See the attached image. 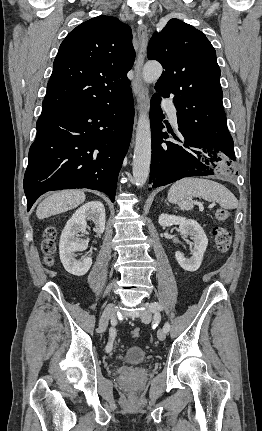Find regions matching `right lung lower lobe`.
Here are the masks:
<instances>
[{
	"label": "right lung lower lobe",
	"mask_w": 262,
	"mask_h": 431,
	"mask_svg": "<svg viewBox=\"0 0 262 431\" xmlns=\"http://www.w3.org/2000/svg\"><path fill=\"white\" fill-rule=\"evenodd\" d=\"M133 120L131 90L104 107L42 111L24 176L27 210L41 194L60 189L99 190L114 202Z\"/></svg>",
	"instance_id": "1"
}]
</instances>
